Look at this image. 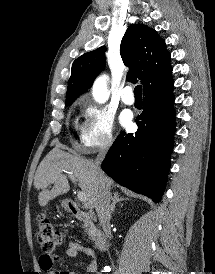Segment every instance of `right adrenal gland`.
I'll list each match as a JSON object with an SVG mask.
<instances>
[{
    "instance_id": "obj_1",
    "label": "right adrenal gland",
    "mask_w": 215,
    "mask_h": 274,
    "mask_svg": "<svg viewBox=\"0 0 215 274\" xmlns=\"http://www.w3.org/2000/svg\"><path fill=\"white\" fill-rule=\"evenodd\" d=\"M112 200H113V202H112V204H111V213L114 212V210H115V205H116L118 202L124 201L125 198L120 197L119 193H118V192H115V193L113 194Z\"/></svg>"
}]
</instances>
